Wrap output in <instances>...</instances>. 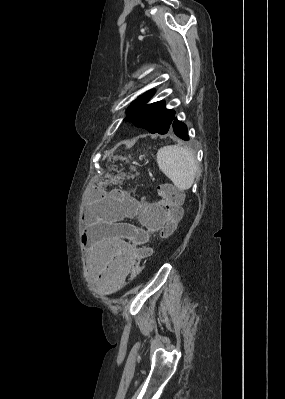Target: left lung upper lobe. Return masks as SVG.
<instances>
[{"mask_svg": "<svg viewBox=\"0 0 285 399\" xmlns=\"http://www.w3.org/2000/svg\"><path fill=\"white\" fill-rule=\"evenodd\" d=\"M152 96L153 91H148L132 102L128 108L129 114L124 121L144 128L150 133L166 134L170 129L175 111L166 109L164 101L146 104Z\"/></svg>", "mask_w": 285, "mask_h": 399, "instance_id": "5c2ea615", "label": "left lung upper lobe"}]
</instances>
